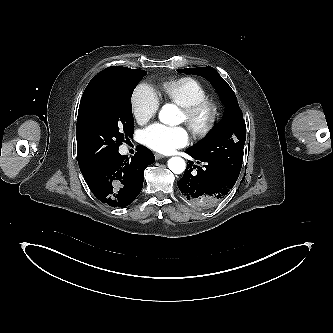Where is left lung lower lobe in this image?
I'll return each instance as SVG.
<instances>
[{
  "label": "left lung lower lobe",
  "mask_w": 333,
  "mask_h": 333,
  "mask_svg": "<svg viewBox=\"0 0 333 333\" xmlns=\"http://www.w3.org/2000/svg\"><path fill=\"white\" fill-rule=\"evenodd\" d=\"M197 163H204L203 168L193 165L190 161L178 187L186 202L209 209L223 200L235 185L237 178L226 173L224 169L210 161L196 156L190 149L186 151ZM197 168V173L193 169Z\"/></svg>",
  "instance_id": "obj_1"
}]
</instances>
